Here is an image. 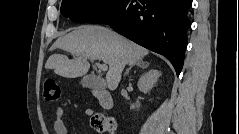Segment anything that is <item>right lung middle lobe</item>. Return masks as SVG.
Segmentation results:
<instances>
[{"label": "right lung middle lobe", "instance_id": "dd1d6c3e", "mask_svg": "<svg viewBox=\"0 0 239 134\" xmlns=\"http://www.w3.org/2000/svg\"><path fill=\"white\" fill-rule=\"evenodd\" d=\"M120 0H62L61 13L72 21L87 23L113 8Z\"/></svg>", "mask_w": 239, "mask_h": 134}]
</instances>
